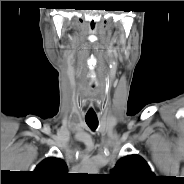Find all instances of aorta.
Segmentation results:
<instances>
[{
    "label": "aorta",
    "instance_id": "762f6f07",
    "mask_svg": "<svg viewBox=\"0 0 184 184\" xmlns=\"http://www.w3.org/2000/svg\"><path fill=\"white\" fill-rule=\"evenodd\" d=\"M90 174H94L96 172H98V169L96 167H92L90 170H89Z\"/></svg>",
    "mask_w": 184,
    "mask_h": 184
}]
</instances>
